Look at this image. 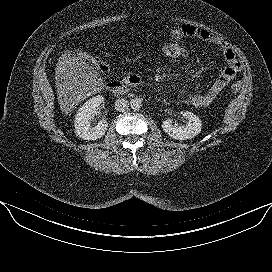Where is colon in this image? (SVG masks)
Listing matches in <instances>:
<instances>
[{
	"instance_id": "obj_1",
	"label": "colon",
	"mask_w": 272,
	"mask_h": 272,
	"mask_svg": "<svg viewBox=\"0 0 272 272\" xmlns=\"http://www.w3.org/2000/svg\"><path fill=\"white\" fill-rule=\"evenodd\" d=\"M159 50L163 57L171 61H179L181 59H184L188 56L189 53L186 45L176 39H171L170 41L163 42L160 45ZM75 55L80 59L92 62L101 71H108L109 67L105 62L96 60L88 53L76 51ZM241 87L242 85L240 82H235L232 84L230 91L231 93H237L240 91Z\"/></svg>"
}]
</instances>
